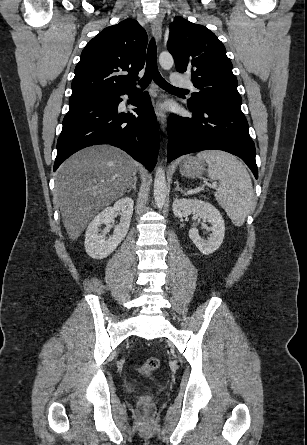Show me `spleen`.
Masks as SVG:
<instances>
[{"mask_svg":"<svg viewBox=\"0 0 307 445\" xmlns=\"http://www.w3.org/2000/svg\"><path fill=\"white\" fill-rule=\"evenodd\" d=\"M196 158L208 164V176L219 180L215 196L235 227H242L256 202L250 174L243 162L223 150H202Z\"/></svg>","mask_w":307,"mask_h":445,"instance_id":"1","label":"spleen"}]
</instances>
